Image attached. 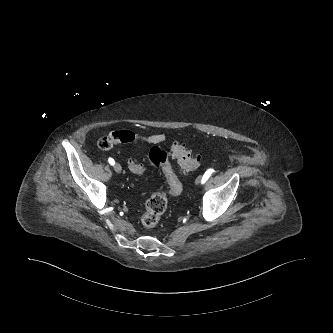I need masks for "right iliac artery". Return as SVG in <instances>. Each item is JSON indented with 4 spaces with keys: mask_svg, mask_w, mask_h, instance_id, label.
<instances>
[{
    "mask_svg": "<svg viewBox=\"0 0 333 333\" xmlns=\"http://www.w3.org/2000/svg\"><path fill=\"white\" fill-rule=\"evenodd\" d=\"M108 162H109L111 165H114V164H115V161H114V159H112V158H109V159H108Z\"/></svg>",
    "mask_w": 333,
    "mask_h": 333,
    "instance_id": "82829eb1",
    "label": "right iliac artery"
}]
</instances>
